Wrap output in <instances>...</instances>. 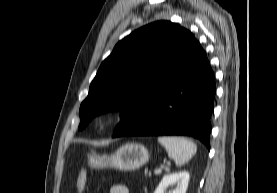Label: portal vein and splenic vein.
<instances>
[{"mask_svg": "<svg viewBox=\"0 0 277 193\" xmlns=\"http://www.w3.org/2000/svg\"><path fill=\"white\" fill-rule=\"evenodd\" d=\"M162 172V168H158L154 170V174H160Z\"/></svg>", "mask_w": 277, "mask_h": 193, "instance_id": "1", "label": "portal vein and splenic vein"}]
</instances>
